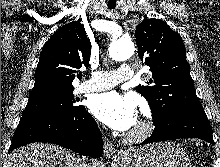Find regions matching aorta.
<instances>
[{
    "label": "aorta",
    "mask_w": 220,
    "mask_h": 167,
    "mask_svg": "<svg viewBox=\"0 0 220 167\" xmlns=\"http://www.w3.org/2000/svg\"><path fill=\"white\" fill-rule=\"evenodd\" d=\"M135 51L131 40H114L109 48V55L115 61H124L130 58Z\"/></svg>",
    "instance_id": "762f6f07"
}]
</instances>
